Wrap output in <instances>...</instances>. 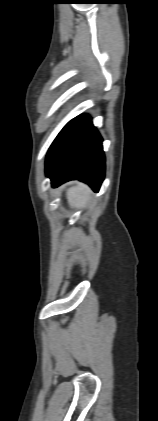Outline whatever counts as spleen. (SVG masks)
Segmentation results:
<instances>
[{"mask_svg":"<svg viewBox=\"0 0 158 421\" xmlns=\"http://www.w3.org/2000/svg\"><path fill=\"white\" fill-rule=\"evenodd\" d=\"M67 200L71 207L82 208L90 200L89 189L77 183L68 189Z\"/></svg>","mask_w":158,"mask_h":421,"instance_id":"1","label":"spleen"}]
</instances>
